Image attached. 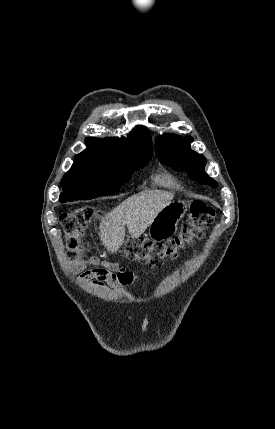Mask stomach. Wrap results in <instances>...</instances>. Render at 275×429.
I'll use <instances>...</instances> for the list:
<instances>
[{
  "label": "stomach",
  "instance_id": "0dacf381",
  "mask_svg": "<svg viewBox=\"0 0 275 429\" xmlns=\"http://www.w3.org/2000/svg\"><path fill=\"white\" fill-rule=\"evenodd\" d=\"M187 203L184 201L172 202L163 208L153 219L149 226V236L154 241L165 240L177 231V224L186 211Z\"/></svg>",
  "mask_w": 275,
  "mask_h": 429
}]
</instances>
